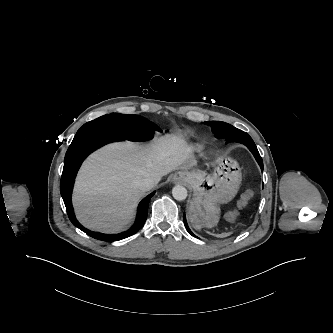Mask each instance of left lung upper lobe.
Masks as SVG:
<instances>
[{
    "label": "left lung upper lobe",
    "instance_id": "left-lung-upper-lobe-1",
    "mask_svg": "<svg viewBox=\"0 0 333 333\" xmlns=\"http://www.w3.org/2000/svg\"><path fill=\"white\" fill-rule=\"evenodd\" d=\"M208 126H211L212 132L216 138H226L227 142L235 141L244 143L243 131L235 128L234 126L221 121H207L205 122Z\"/></svg>",
    "mask_w": 333,
    "mask_h": 333
}]
</instances>
